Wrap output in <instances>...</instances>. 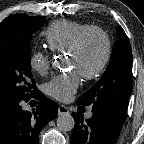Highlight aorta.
<instances>
[{
    "label": "aorta",
    "mask_w": 144,
    "mask_h": 144,
    "mask_svg": "<svg viewBox=\"0 0 144 144\" xmlns=\"http://www.w3.org/2000/svg\"><path fill=\"white\" fill-rule=\"evenodd\" d=\"M58 67V63H54ZM74 118L69 113L60 114L57 118V127L61 131H71L74 128Z\"/></svg>",
    "instance_id": "aorta-1"
}]
</instances>
